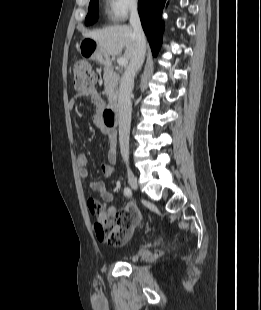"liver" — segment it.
<instances>
[{
    "label": "liver",
    "instance_id": "liver-1",
    "mask_svg": "<svg viewBox=\"0 0 261 310\" xmlns=\"http://www.w3.org/2000/svg\"><path fill=\"white\" fill-rule=\"evenodd\" d=\"M84 36L96 41L100 52L105 56L119 55L124 48H126L124 53L125 59L130 61L134 55L136 38L131 26H111L85 33Z\"/></svg>",
    "mask_w": 261,
    "mask_h": 310
}]
</instances>
